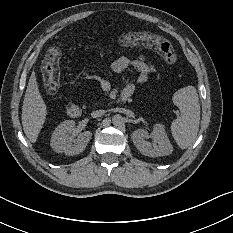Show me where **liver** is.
I'll return each instance as SVG.
<instances>
[{"mask_svg": "<svg viewBox=\"0 0 233 233\" xmlns=\"http://www.w3.org/2000/svg\"><path fill=\"white\" fill-rule=\"evenodd\" d=\"M47 115V105L39 91L35 71L31 73L22 105V125L28 139L35 143Z\"/></svg>", "mask_w": 233, "mask_h": 233, "instance_id": "1", "label": "liver"}]
</instances>
